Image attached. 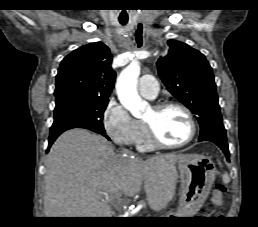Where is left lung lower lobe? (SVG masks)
I'll list each match as a JSON object with an SVG mask.
<instances>
[{"label":"left lung lower lobe","instance_id":"0a47b994","mask_svg":"<svg viewBox=\"0 0 258 227\" xmlns=\"http://www.w3.org/2000/svg\"><path fill=\"white\" fill-rule=\"evenodd\" d=\"M205 141H211L218 145L221 150L224 152L226 155L227 160H229V150H228V144H227V139H221V138H209Z\"/></svg>","mask_w":258,"mask_h":227}]
</instances>
